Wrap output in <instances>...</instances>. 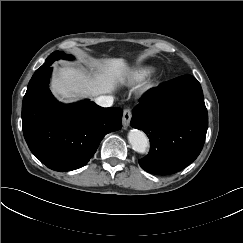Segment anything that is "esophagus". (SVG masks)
<instances>
[{
    "label": "esophagus",
    "instance_id": "obj_1",
    "mask_svg": "<svg viewBox=\"0 0 243 243\" xmlns=\"http://www.w3.org/2000/svg\"><path fill=\"white\" fill-rule=\"evenodd\" d=\"M131 118H132L131 110L130 109H124L123 117H122V124L125 128L129 126Z\"/></svg>",
    "mask_w": 243,
    "mask_h": 243
}]
</instances>
